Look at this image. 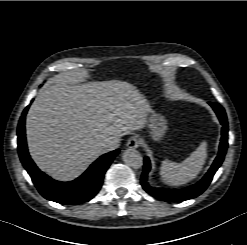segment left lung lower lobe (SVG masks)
Here are the masks:
<instances>
[{
    "label": "left lung lower lobe",
    "instance_id": "1",
    "mask_svg": "<svg viewBox=\"0 0 247 245\" xmlns=\"http://www.w3.org/2000/svg\"><path fill=\"white\" fill-rule=\"evenodd\" d=\"M214 111L216 112L223 128H222V138L219 147V153L216 157L214 163L212 164L209 171L206 175L196 184L189 186L183 189H163V188H154L149 186L147 183V176L151 169V163L148 157L144 158V166H143V173L141 175V185L143 189L152 195L153 197L163 200L166 202H179L188 200L191 198H195L201 193H203L208 185L210 184L215 172L220 167L224 160V156L226 154L227 146H228V123L226 118V113L221 105L218 103L210 102L209 103Z\"/></svg>",
    "mask_w": 247,
    "mask_h": 245
}]
</instances>
